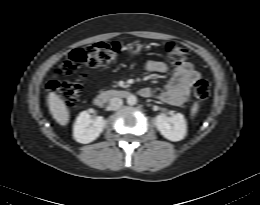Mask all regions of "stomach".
<instances>
[{"label":"stomach","mask_w":260,"mask_h":205,"mask_svg":"<svg viewBox=\"0 0 260 205\" xmlns=\"http://www.w3.org/2000/svg\"><path fill=\"white\" fill-rule=\"evenodd\" d=\"M143 45L140 44L139 42H134V43H131L129 46H128V51L132 54V55H137L141 52V50L143 49Z\"/></svg>","instance_id":"obj_1"}]
</instances>
